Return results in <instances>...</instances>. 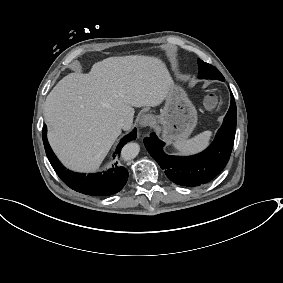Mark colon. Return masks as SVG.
I'll return each instance as SVG.
<instances>
[{
    "label": "colon",
    "instance_id": "colon-1",
    "mask_svg": "<svg viewBox=\"0 0 283 283\" xmlns=\"http://www.w3.org/2000/svg\"><path fill=\"white\" fill-rule=\"evenodd\" d=\"M219 102V98L217 96L216 93L210 92L208 94H206L205 99H204V103L205 106L209 109H213L217 106Z\"/></svg>",
    "mask_w": 283,
    "mask_h": 283
}]
</instances>
